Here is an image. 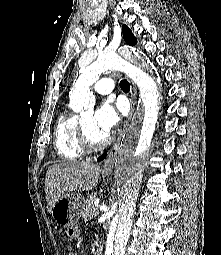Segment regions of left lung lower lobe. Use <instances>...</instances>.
Returning <instances> with one entry per match:
<instances>
[{
    "instance_id": "left-lung-lower-lobe-1",
    "label": "left lung lower lobe",
    "mask_w": 221,
    "mask_h": 255,
    "mask_svg": "<svg viewBox=\"0 0 221 255\" xmlns=\"http://www.w3.org/2000/svg\"><path fill=\"white\" fill-rule=\"evenodd\" d=\"M105 157H106V154H103L102 156H100V157L97 159V161H101V160H103Z\"/></svg>"
}]
</instances>
